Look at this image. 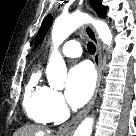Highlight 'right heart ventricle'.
Instances as JSON below:
<instances>
[{
  "mask_svg": "<svg viewBox=\"0 0 136 136\" xmlns=\"http://www.w3.org/2000/svg\"><path fill=\"white\" fill-rule=\"evenodd\" d=\"M49 88L42 84L41 73L35 70L25 87L23 105L27 115L37 123H48L53 117L47 106Z\"/></svg>",
  "mask_w": 136,
  "mask_h": 136,
  "instance_id": "right-heart-ventricle-1",
  "label": "right heart ventricle"
}]
</instances>
